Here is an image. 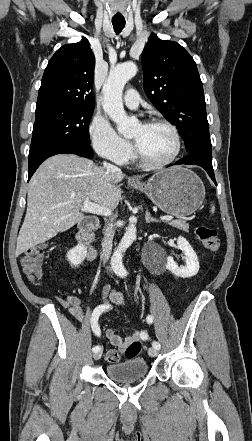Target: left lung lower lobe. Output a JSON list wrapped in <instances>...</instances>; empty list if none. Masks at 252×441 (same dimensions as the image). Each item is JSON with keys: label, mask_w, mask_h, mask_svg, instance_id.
Here are the masks:
<instances>
[{"label": "left lung lower lobe", "mask_w": 252, "mask_h": 441, "mask_svg": "<svg viewBox=\"0 0 252 441\" xmlns=\"http://www.w3.org/2000/svg\"><path fill=\"white\" fill-rule=\"evenodd\" d=\"M181 164H187V165L195 164L201 166L206 170L210 178L216 184L214 171L212 167V153L205 151L191 152L188 156L178 160L176 163L171 165H181Z\"/></svg>", "instance_id": "obj_1"}]
</instances>
